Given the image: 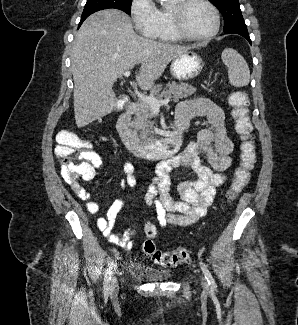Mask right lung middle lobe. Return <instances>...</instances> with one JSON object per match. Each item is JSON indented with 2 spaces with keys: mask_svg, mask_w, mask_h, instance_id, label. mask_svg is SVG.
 <instances>
[{
  "mask_svg": "<svg viewBox=\"0 0 298 325\" xmlns=\"http://www.w3.org/2000/svg\"><path fill=\"white\" fill-rule=\"evenodd\" d=\"M131 4L132 0H87L81 20H85L89 15L96 11L108 8L119 9L130 14Z\"/></svg>",
  "mask_w": 298,
  "mask_h": 325,
  "instance_id": "obj_1",
  "label": "right lung middle lobe"
}]
</instances>
